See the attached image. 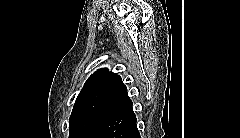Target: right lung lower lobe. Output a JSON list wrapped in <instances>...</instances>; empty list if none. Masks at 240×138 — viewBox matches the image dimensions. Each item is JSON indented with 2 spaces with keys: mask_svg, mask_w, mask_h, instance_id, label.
<instances>
[{
  "mask_svg": "<svg viewBox=\"0 0 240 138\" xmlns=\"http://www.w3.org/2000/svg\"><path fill=\"white\" fill-rule=\"evenodd\" d=\"M86 138H141L132 102L108 115Z\"/></svg>",
  "mask_w": 240,
  "mask_h": 138,
  "instance_id": "right-lung-lower-lobe-1",
  "label": "right lung lower lobe"
}]
</instances>
